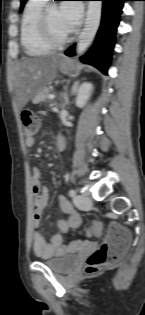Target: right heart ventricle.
Wrapping results in <instances>:
<instances>
[{
    "mask_svg": "<svg viewBox=\"0 0 145 315\" xmlns=\"http://www.w3.org/2000/svg\"><path fill=\"white\" fill-rule=\"evenodd\" d=\"M45 4L41 0H31L25 7L21 18L20 39L26 54L41 56L52 48L44 42L38 31V20Z\"/></svg>",
    "mask_w": 145,
    "mask_h": 315,
    "instance_id": "right-heart-ventricle-1",
    "label": "right heart ventricle"
}]
</instances>
